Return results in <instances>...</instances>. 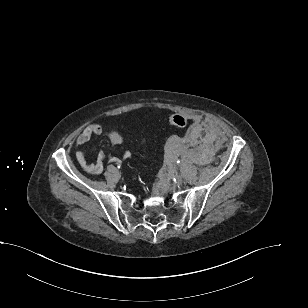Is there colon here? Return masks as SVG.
I'll list each match as a JSON object with an SVG mask.
<instances>
[{"label": "colon", "mask_w": 308, "mask_h": 308, "mask_svg": "<svg viewBox=\"0 0 308 308\" xmlns=\"http://www.w3.org/2000/svg\"><path fill=\"white\" fill-rule=\"evenodd\" d=\"M169 123L174 127H184L187 124V119L181 114H173L170 116Z\"/></svg>", "instance_id": "obj_1"}]
</instances>
